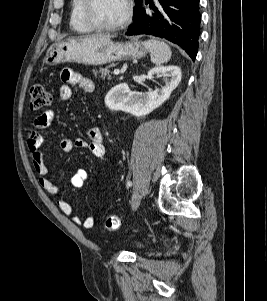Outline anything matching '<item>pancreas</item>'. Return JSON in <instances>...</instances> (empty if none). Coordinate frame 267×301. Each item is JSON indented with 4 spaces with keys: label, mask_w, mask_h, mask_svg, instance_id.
I'll use <instances>...</instances> for the list:
<instances>
[{
    "label": "pancreas",
    "mask_w": 267,
    "mask_h": 301,
    "mask_svg": "<svg viewBox=\"0 0 267 301\" xmlns=\"http://www.w3.org/2000/svg\"><path fill=\"white\" fill-rule=\"evenodd\" d=\"M113 67L112 65L106 66L105 68H99V70H94L93 73L95 76H97V74L99 73L100 77L102 79H105L107 77V79H111L110 76V68Z\"/></svg>",
    "instance_id": "1"
}]
</instances>
